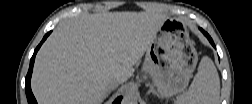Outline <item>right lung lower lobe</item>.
<instances>
[{
    "label": "right lung lower lobe",
    "instance_id": "obj_1",
    "mask_svg": "<svg viewBox=\"0 0 252 104\" xmlns=\"http://www.w3.org/2000/svg\"><path fill=\"white\" fill-rule=\"evenodd\" d=\"M50 33H51V31L48 32V33L44 36V38H43V40L41 41V43H40V44L37 46V48L35 49L34 54H33L32 58H31V60H30V66H29L28 74H27L26 79H25V89H26V95H27V100H28V103H29V104H37L36 99L34 98L33 93H32V91H31V86H30V80H31V75H32V70H33V64H34L35 56H36V53H37V51L39 50L40 46H41L42 43L46 40V38L49 36ZM121 100H122V97L120 96V97H118V98L114 101L113 104H119V103L121 102Z\"/></svg>",
    "mask_w": 252,
    "mask_h": 104
}]
</instances>
